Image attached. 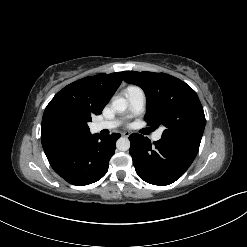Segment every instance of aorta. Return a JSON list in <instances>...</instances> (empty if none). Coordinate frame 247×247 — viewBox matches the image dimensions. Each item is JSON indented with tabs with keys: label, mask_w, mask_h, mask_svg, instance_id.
Instances as JSON below:
<instances>
[{
	"label": "aorta",
	"mask_w": 247,
	"mask_h": 247,
	"mask_svg": "<svg viewBox=\"0 0 247 247\" xmlns=\"http://www.w3.org/2000/svg\"><path fill=\"white\" fill-rule=\"evenodd\" d=\"M128 102L125 98L117 97L112 101V108L118 112H123L127 109ZM116 147L120 151H127L130 148V141L127 137H120L116 142Z\"/></svg>",
	"instance_id": "aorta-1"
}]
</instances>
